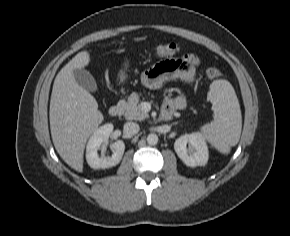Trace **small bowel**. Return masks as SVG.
Wrapping results in <instances>:
<instances>
[{"label":"small bowel","instance_id":"1","mask_svg":"<svg viewBox=\"0 0 290 236\" xmlns=\"http://www.w3.org/2000/svg\"><path fill=\"white\" fill-rule=\"evenodd\" d=\"M200 61L195 54H185L179 59L161 61L141 74V84L149 89H160L169 80H181L194 83ZM187 100L184 95L166 96L162 104V113L184 109Z\"/></svg>","mask_w":290,"mask_h":236}]
</instances>
